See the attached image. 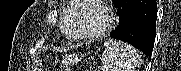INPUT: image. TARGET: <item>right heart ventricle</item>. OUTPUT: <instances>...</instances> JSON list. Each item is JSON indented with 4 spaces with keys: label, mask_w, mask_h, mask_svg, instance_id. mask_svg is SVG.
<instances>
[{
    "label": "right heart ventricle",
    "mask_w": 181,
    "mask_h": 71,
    "mask_svg": "<svg viewBox=\"0 0 181 71\" xmlns=\"http://www.w3.org/2000/svg\"><path fill=\"white\" fill-rule=\"evenodd\" d=\"M76 8H77V3L70 1L69 4L64 9L63 19H62V23H61V30H62L63 34L65 36H67L68 38H72V35H73L70 24H71L72 16H73ZM72 39H74V38H72Z\"/></svg>",
    "instance_id": "obj_1"
}]
</instances>
